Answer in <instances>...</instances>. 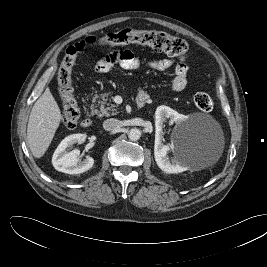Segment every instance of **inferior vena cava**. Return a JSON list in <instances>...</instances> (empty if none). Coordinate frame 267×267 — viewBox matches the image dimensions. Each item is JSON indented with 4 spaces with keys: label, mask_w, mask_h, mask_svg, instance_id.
<instances>
[{
    "label": "inferior vena cava",
    "mask_w": 267,
    "mask_h": 267,
    "mask_svg": "<svg viewBox=\"0 0 267 267\" xmlns=\"http://www.w3.org/2000/svg\"><path fill=\"white\" fill-rule=\"evenodd\" d=\"M121 122L118 119L110 118L103 122V128L107 131H112L120 128Z\"/></svg>",
    "instance_id": "602c4592"
}]
</instances>
